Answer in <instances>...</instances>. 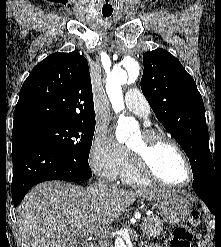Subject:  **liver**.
<instances>
[{"mask_svg": "<svg viewBox=\"0 0 221 247\" xmlns=\"http://www.w3.org/2000/svg\"><path fill=\"white\" fill-rule=\"evenodd\" d=\"M165 190H123L50 181L33 187L18 207V225L29 247H81L82 237H107L111 224L136 198L154 201Z\"/></svg>", "mask_w": 221, "mask_h": 247, "instance_id": "6515ba94", "label": "liver"}]
</instances>
